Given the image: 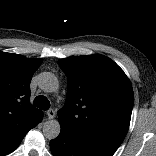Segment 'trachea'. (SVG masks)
I'll return each mask as SVG.
<instances>
[{"mask_svg": "<svg viewBox=\"0 0 156 156\" xmlns=\"http://www.w3.org/2000/svg\"><path fill=\"white\" fill-rule=\"evenodd\" d=\"M33 104L42 110H48L50 108L49 100L43 95L37 96Z\"/></svg>", "mask_w": 156, "mask_h": 156, "instance_id": "trachea-1", "label": "trachea"}]
</instances>
